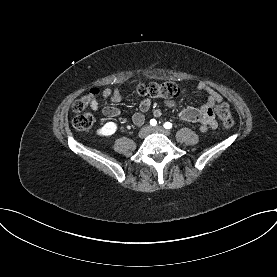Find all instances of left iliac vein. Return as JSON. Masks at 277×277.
Masks as SVG:
<instances>
[{"label": "left iliac vein", "instance_id": "left-iliac-vein-1", "mask_svg": "<svg viewBox=\"0 0 277 277\" xmlns=\"http://www.w3.org/2000/svg\"><path fill=\"white\" fill-rule=\"evenodd\" d=\"M150 132H152V133H161V134H164L166 136H170V134H171V132L169 130L165 129L162 126H156L154 128H151Z\"/></svg>", "mask_w": 277, "mask_h": 277}]
</instances>
